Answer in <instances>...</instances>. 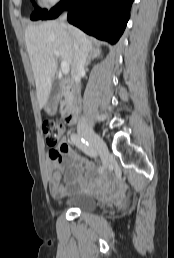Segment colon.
<instances>
[{
    "label": "colon",
    "instance_id": "5ec220e1",
    "mask_svg": "<svg viewBox=\"0 0 174 258\" xmlns=\"http://www.w3.org/2000/svg\"><path fill=\"white\" fill-rule=\"evenodd\" d=\"M43 132L46 136L47 144L54 147L62 141L66 132V126L59 121H45L43 123ZM52 155L54 157H58L60 152L58 150H54Z\"/></svg>",
    "mask_w": 174,
    "mask_h": 258
}]
</instances>
